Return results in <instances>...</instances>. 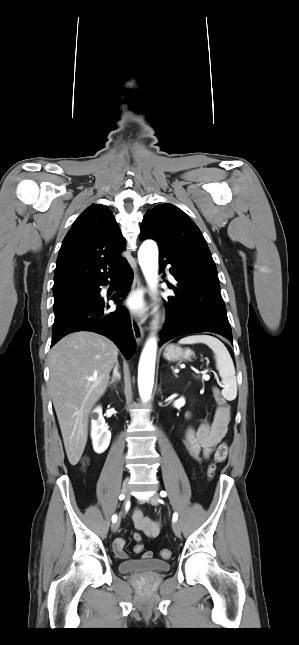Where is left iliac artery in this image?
<instances>
[{
  "mask_svg": "<svg viewBox=\"0 0 299 645\" xmlns=\"http://www.w3.org/2000/svg\"><path fill=\"white\" fill-rule=\"evenodd\" d=\"M166 495H167V493H166L165 491H161V492H160V496H161V497H166ZM177 519H178V514H177V513H174V514H173V521H176Z\"/></svg>",
  "mask_w": 299,
  "mask_h": 645,
  "instance_id": "obj_1",
  "label": "left iliac artery"
}]
</instances>
